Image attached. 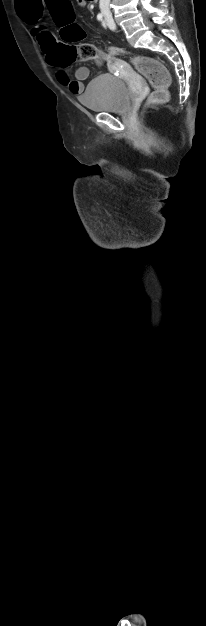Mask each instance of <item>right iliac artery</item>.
<instances>
[{
  "label": "right iliac artery",
  "mask_w": 206,
  "mask_h": 626,
  "mask_svg": "<svg viewBox=\"0 0 206 626\" xmlns=\"http://www.w3.org/2000/svg\"><path fill=\"white\" fill-rule=\"evenodd\" d=\"M102 17H103V16H102V14H101V13H99V14L97 15V19H98V20H102Z\"/></svg>",
  "instance_id": "82829eb1"
}]
</instances>
